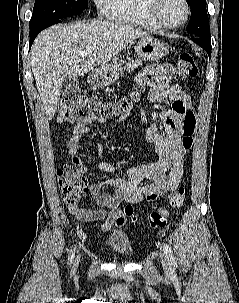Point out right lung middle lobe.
<instances>
[{
    "mask_svg": "<svg viewBox=\"0 0 239 303\" xmlns=\"http://www.w3.org/2000/svg\"><path fill=\"white\" fill-rule=\"evenodd\" d=\"M86 8L87 0H35L29 26L47 25L56 19L80 14Z\"/></svg>",
    "mask_w": 239,
    "mask_h": 303,
    "instance_id": "obj_1",
    "label": "right lung middle lobe"
}]
</instances>
